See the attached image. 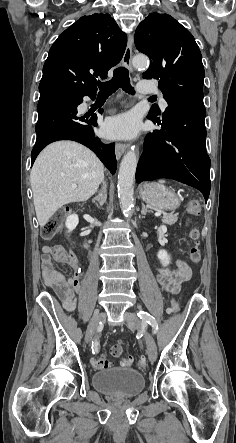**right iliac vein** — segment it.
Segmentation results:
<instances>
[{"instance_id": "1", "label": "right iliac vein", "mask_w": 236, "mask_h": 443, "mask_svg": "<svg viewBox=\"0 0 236 443\" xmlns=\"http://www.w3.org/2000/svg\"><path fill=\"white\" fill-rule=\"evenodd\" d=\"M105 318H106V313L102 312V313H100L98 316L94 317L90 321V323H89V325H88V327L86 329V333H85V341H86V343L91 342L93 334H94L98 324L101 321H103Z\"/></svg>"}]
</instances>
